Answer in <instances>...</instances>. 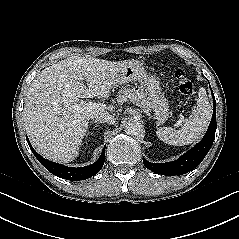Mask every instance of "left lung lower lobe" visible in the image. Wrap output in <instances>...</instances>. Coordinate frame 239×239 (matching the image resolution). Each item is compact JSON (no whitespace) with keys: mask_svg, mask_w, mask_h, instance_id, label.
Returning a JSON list of instances; mask_svg holds the SVG:
<instances>
[{"mask_svg":"<svg viewBox=\"0 0 239 239\" xmlns=\"http://www.w3.org/2000/svg\"><path fill=\"white\" fill-rule=\"evenodd\" d=\"M211 93L214 101V111L210 125L203 139L175 161L154 164L148 162L146 159H143V163L147 169L162 175H182L190 172L202 162L213 144L217 127L216 101L212 90Z\"/></svg>","mask_w":239,"mask_h":239,"instance_id":"left-lung-lower-lobe-1","label":"left lung lower lobe"}]
</instances>
